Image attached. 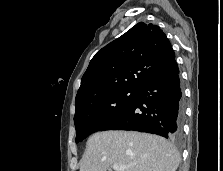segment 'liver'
I'll use <instances>...</instances> for the list:
<instances>
[{
  "label": "liver",
  "mask_w": 223,
  "mask_h": 171,
  "mask_svg": "<svg viewBox=\"0 0 223 171\" xmlns=\"http://www.w3.org/2000/svg\"><path fill=\"white\" fill-rule=\"evenodd\" d=\"M181 161L165 138L135 131L109 130L91 135L80 171H107L114 164L125 171H176Z\"/></svg>",
  "instance_id": "obj_1"
}]
</instances>
